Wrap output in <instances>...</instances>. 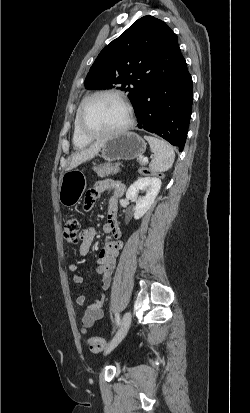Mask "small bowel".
Returning a JSON list of instances; mask_svg holds the SVG:
<instances>
[{"instance_id":"obj_1","label":"small bowel","mask_w":250,"mask_h":413,"mask_svg":"<svg viewBox=\"0 0 250 413\" xmlns=\"http://www.w3.org/2000/svg\"><path fill=\"white\" fill-rule=\"evenodd\" d=\"M106 191L111 194L107 202V220L103 226V231L106 234L104 246L98 253L96 259V272L100 276V285L103 291L110 286L112 273L115 268L116 259L123 248V241L121 240V230L116 220L118 198L121 197L125 191V185L118 179H108L95 183V185L87 192L84 202L85 211H90L97 200V198ZM81 237V244L79 246V255L81 257L87 256L92 246L93 240L96 236V230L92 226L79 231ZM69 270L74 272L73 281L76 284H81L85 281V276L78 273L79 266L75 263L69 264ZM79 306H85V312L82 318V328L85 332L93 326V324L103 317L102 306L104 303V295H99L94 301L86 304V297L79 295L76 299ZM99 352L100 350H91Z\"/></svg>"}]
</instances>
